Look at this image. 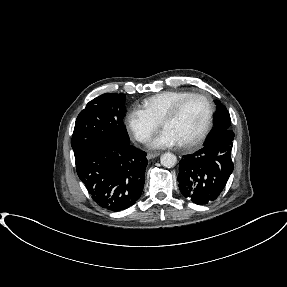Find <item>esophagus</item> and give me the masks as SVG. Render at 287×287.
Listing matches in <instances>:
<instances>
[{"label":"esophagus","mask_w":287,"mask_h":287,"mask_svg":"<svg viewBox=\"0 0 287 287\" xmlns=\"http://www.w3.org/2000/svg\"><path fill=\"white\" fill-rule=\"evenodd\" d=\"M160 155L159 152H155V153H148L147 158L148 159H153L155 157H158Z\"/></svg>","instance_id":"1"}]
</instances>
